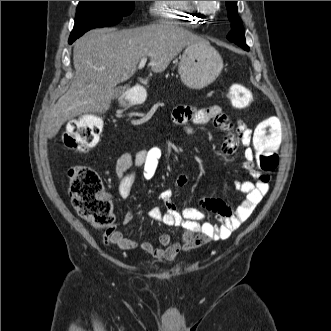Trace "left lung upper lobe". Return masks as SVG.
<instances>
[{"label":"left lung upper lobe","mask_w":331,"mask_h":331,"mask_svg":"<svg viewBox=\"0 0 331 331\" xmlns=\"http://www.w3.org/2000/svg\"><path fill=\"white\" fill-rule=\"evenodd\" d=\"M226 7L228 9V18L231 21L232 27V30L227 35V38L243 49H249L245 43V33L242 21L237 15V1H226Z\"/></svg>","instance_id":"1"}]
</instances>
